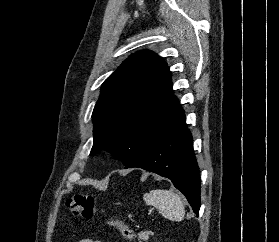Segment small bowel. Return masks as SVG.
<instances>
[{
    "instance_id": "c3829d8e",
    "label": "small bowel",
    "mask_w": 279,
    "mask_h": 242,
    "mask_svg": "<svg viewBox=\"0 0 279 242\" xmlns=\"http://www.w3.org/2000/svg\"><path fill=\"white\" fill-rule=\"evenodd\" d=\"M79 242H101L99 240H95V239H90V238H85L80 240Z\"/></svg>"
}]
</instances>
